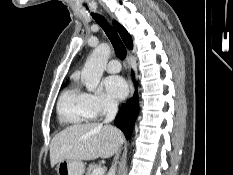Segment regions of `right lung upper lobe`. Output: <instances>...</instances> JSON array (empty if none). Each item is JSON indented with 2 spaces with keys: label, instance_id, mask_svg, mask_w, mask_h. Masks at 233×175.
<instances>
[{
  "label": "right lung upper lobe",
  "instance_id": "right-lung-upper-lobe-1",
  "mask_svg": "<svg viewBox=\"0 0 233 175\" xmlns=\"http://www.w3.org/2000/svg\"><path fill=\"white\" fill-rule=\"evenodd\" d=\"M113 26L120 34V36H121L122 40L124 41L125 45L127 46V48L132 49L133 48L132 38L129 35V33L126 31V29L122 25H120L117 21H113Z\"/></svg>",
  "mask_w": 233,
  "mask_h": 175
}]
</instances>
